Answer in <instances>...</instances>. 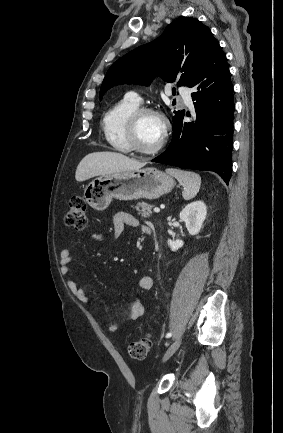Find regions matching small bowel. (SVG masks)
Listing matches in <instances>:
<instances>
[{
	"mask_svg": "<svg viewBox=\"0 0 283 433\" xmlns=\"http://www.w3.org/2000/svg\"><path fill=\"white\" fill-rule=\"evenodd\" d=\"M139 225L138 220L129 213L119 212L115 214L113 218V233L115 238H119L125 226L137 227ZM142 231L144 233H148L150 228L148 226H142ZM90 238L94 241H101L103 239L102 234L92 233ZM60 270L63 275H68L70 273V263L72 261V254L68 248L63 249L60 252ZM153 286V278L151 276H143L138 281V288L141 290H149ZM68 287L72 293V295L81 303H88L89 298L85 293L84 289L79 286L73 279L68 280ZM145 314V306L141 300L136 299L131 303L130 308V320H136L141 318ZM118 325L112 323L109 325V330L111 332H115L118 330Z\"/></svg>",
	"mask_w": 283,
	"mask_h": 433,
	"instance_id": "c3829d8e",
	"label": "small bowel"
}]
</instances>
